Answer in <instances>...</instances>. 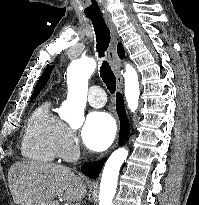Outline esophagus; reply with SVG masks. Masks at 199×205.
I'll return each instance as SVG.
<instances>
[{"mask_svg": "<svg viewBox=\"0 0 199 205\" xmlns=\"http://www.w3.org/2000/svg\"><path fill=\"white\" fill-rule=\"evenodd\" d=\"M105 21L110 29V32H111V42H110V46H109L108 58H109V61L111 63V66L115 72L117 86H118V89L120 90L122 88L123 79H122V76L120 73V66L121 65H120V61H119L117 51H116V46H117V42L119 40V37H118L116 26L113 23L112 19L110 17H106ZM109 152H110V150L105 152V153H102L97 158V160L103 159Z\"/></svg>", "mask_w": 199, "mask_h": 205, "instance_id": "34e87169", "label": "esophagus"}]
</instances>
